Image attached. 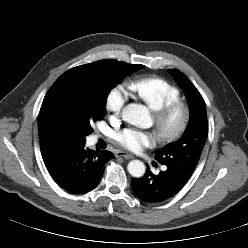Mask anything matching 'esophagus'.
<instances>
[{"label":"esophagus","mask_w":248,"mask_h":248,"mask_svg":"<svg viewBox=\"0 0 248 248\" xmlns=\"http://www.w3.org/2000/svg\"><path fill=\"white\" fill-rule=\"evenodd\" d=\"M116 157H123L124 159H132L133 158V155L127 153V152H124V151H119L115 154Z\"/></svg>","instance_id":"34e87169"}]
</instances>
